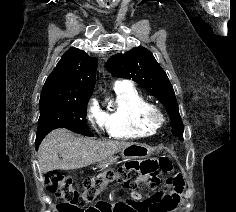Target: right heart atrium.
I'll use <instances>...</instances> for the list:
<instances>
[{"mask_svg": "<svg viewBox=\"0 0 236 212\" xmlns=\"http://www.w3.org/2000/svg\"><path fill=\"white\" fill-rule=\"evenodd\" d=\"M87 118L97 130L104 128V114L96 100H91L87 109Z\"/></svg>", "mask_w": 236, "mask_h": 212, "instance_id": "1", "label": "right heart atrium"}]
</instances>
